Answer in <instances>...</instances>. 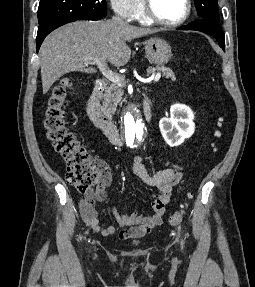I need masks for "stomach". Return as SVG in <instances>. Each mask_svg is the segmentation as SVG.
Listing matches in <instances>:
<instances>
[{
  "label": "stomach",
  "instance_id": "0dacf381",
  "mask_svg": "<svg viewBox=\"0 0 255 287\" xmlns=\"http://www.w3.org/2000/svg\"><path fill=\"white\" fill-rule=\"evenodd\" d=\"M145 54L150 64L164 66L171 58V46L162 38H150L145 44Z\"/></svg>",
  "mask_w": 255,
  "mask_h": 287
}]
</instances>
